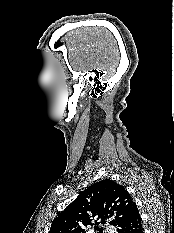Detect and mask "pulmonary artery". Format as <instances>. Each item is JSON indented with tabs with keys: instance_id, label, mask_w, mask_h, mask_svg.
I'll return each mask as SVG.
<instances>
[{
	"instance_id": "obj_1",
	"label": "pulmonary artery",
	"mask_w": 174,
	"mask_h": 233,
	"mask_svg": "<svg viewBox=\"0 0 174 233\" xmlns=\"http://www.w3.org/2000/svg\"><path fill=\"white\" fill-rule=\"evenodd\" d=\"M107 233H114V231L112 229H108Z\"/></svg>"
}]
</instances>
